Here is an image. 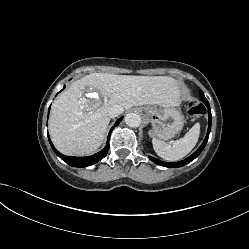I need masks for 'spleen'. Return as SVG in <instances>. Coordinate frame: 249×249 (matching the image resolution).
I'll return each instance as SVG.
<instances>
[{
	"label": "spleen",
	"mask_w": 249,
	"mask_h": 249,
	"mask_svg": "<svg viewBox=\"0 0 249 249\" xmlns=\"http://www.w3.org/2000/svg\"><path fill=\"white\" fill-rule=\"evenodd\" d=\"M200 134V124L196 123L181 139L173 144L153 139V148L158 156L167 161H177L184 158L195 147Z\"/></svg>",
	"instance_id": "1"
}]
</instances>
